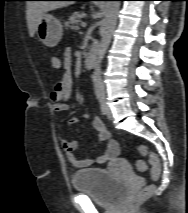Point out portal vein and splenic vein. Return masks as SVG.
Instances as JSON below:
<instances>
[{
    "label": "portal vein and splenic vein",
    "instance_id": "1",
    "mask_svg": "<svg viewBox=\"0 0 188 213\" xmlns=\"http://www.w3.org/2000/svg\"><path fill=\"white\" fill-rule=\"evenodd\" d=\"M86 25H87L86 22H82V23H81V26H82V27H86Z\"/></svg>",
    "mask_w": 188,
    "mask_h": 213
}]
</instances>
